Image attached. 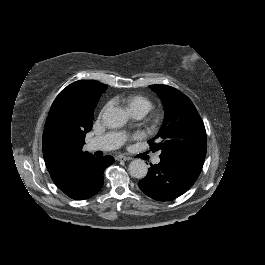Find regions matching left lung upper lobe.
Instances as JSON below:
<instances>
[{
	"label": "left lung upper lobe",
	"mask_w": 265,
	"mask_h": 265,
	"mask_svg": "<svg viewBox=\"0 0 265 265\" xmlns=\"http://www.w3.org/2000/svg\"><path fill=\"white\" fill-rule=\"evenodd\" d=\"M163 101L165 119L154 139V150H161L160 158H200L206 156V132L203 121L192 101L181 91L167 85H151ZM160 138L161 142L155 143Z\"/></svg>",
	"instance_id": "obj_1"
}]
</instances>
